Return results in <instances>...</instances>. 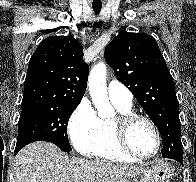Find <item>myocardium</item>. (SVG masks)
I'll return each instance as SVG.
<instances>
[{"label":"myocardium","mask_w":196,"mask_h":182,"mask_svg":"<svg viewBox=\"0 0 196 182\" xmlns=\"http://www.w3.org/2000/svg\"><path fill=\"white\" fill-rule=\"evenodd\" d=\"M137 121L146 122L153 130L156 137V149L150 155H141L135 152L128 142V132L131 126ZM114 140L117 147L127 156L136 160H149L156 157L162 147V137L156 123L149 117L134 112L119 113L117 117L111 121Z\"/></svg>","instance_id":"myocardium-1"}]
</instances>
